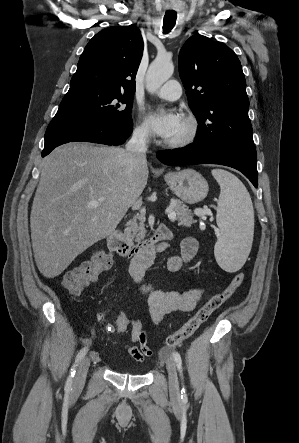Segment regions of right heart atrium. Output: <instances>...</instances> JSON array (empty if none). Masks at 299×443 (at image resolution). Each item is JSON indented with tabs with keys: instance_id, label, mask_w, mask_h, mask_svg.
Segmentation results:
<instances>
[{
	"instance_id": "1",
	"label": "right heart atrium",
	"mask_w": 299,
	"mask_h": 443,
	"mask_svg": "<svg viewBox=\"0 0 299 443\" xmlns=\"http://www.w3.org/2000/svg\"><path fill=\"white\" fill-rule=\"evenodd\" d=\"M133 135L137 140L143 141V142L148 141L151 136L150 130L144 122H139L135 126L134 131H133Z\"/></svg>"
}]
</instances>
